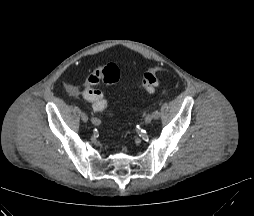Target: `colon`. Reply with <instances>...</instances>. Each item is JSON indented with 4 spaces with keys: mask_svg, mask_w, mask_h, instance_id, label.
Returning <instances> with one entry per match:
<instances>
[{
    "mask_svg": "<svg viewBox=\"0 0 254 216\" xmlns=\"http://www.w3.org/2000/svg\"><path fill=\"white\" fill-rule=\"evenodd\" d=\"M158 67L148 68L142 76L140 88L152 93L159 84ZM120 78V70L115 64H108L104 67H98L91 72L85 79L84 98L94 106L106 107L107 100L103 93L97 89L99 83L107 85L115 84Z\"/></svg>",
    "mask_w": 254,
    "mask_h": 216,
    "instance_id": "obj_1",
    "label": "colon"
}]
</instances>
